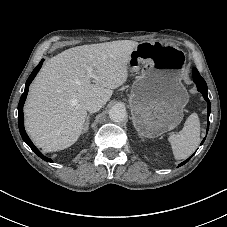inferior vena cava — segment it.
Returning a JSON list of instances; mask_svg holds the SVG:
<instances>
[{"instance_id": "obj_1", "label": "inferior vena cava", "mask_w": 227, "mask_h": 227, "mask_svg": "<svg viewBox=\"0 0 227 227\" xmlns=\"http://www.w3.org/2000/svg\"><path fill=\"white\" fill-rule=\"evenodd\" d=\"M103 100L100 98H91L86 101L85 108L87 111L94 113L99 111L103 106Z\"/></svg>"}]
</instances>
